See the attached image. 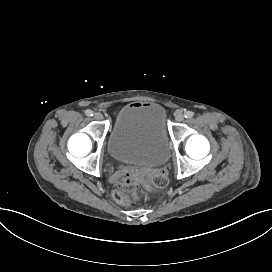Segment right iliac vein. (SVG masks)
I'll list each match as a JSON object with an SVG mask.
<instances>
[{"label":"right iliac vein","instance_id":"right-iliac-vein-1","mask_svg":"<svg viewBox=\"0 0 272 272\" xmlns=\"http://www.w3.org/2000/svg\"><path fill=\"white\" fill-rule=\"evenodd\" d=\"M94 118L99 121V120H102L103 116L100 112H96L94 114Z\"/></svg>","mask_w":272,"mask_h":272}]
</instances>
